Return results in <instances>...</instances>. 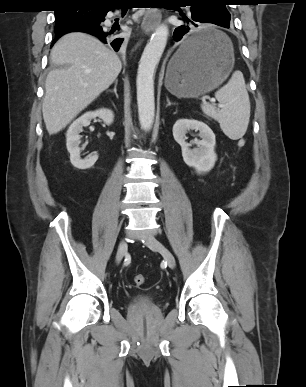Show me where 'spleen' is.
Wrapping results in <instances>:
<instances>
[{"label":"spleen","instance_id":"spleen-1","mask_svg":"<svg viewBox=\"0 0 306 387\" xmlns=\"http://www.w3.org/2000/svg\"><path fill=\"white\" fill-rule=\"evenodd\" d=\"M215 97L222 105L221 109L202 103L203 113L218 121L223 133L230 139L241 138L246 133L250 118V100L243 74L235 71L228 83L216 91Z\"/></svg>","mask_w":306,"mask_h":387}]
</instances>
